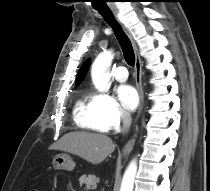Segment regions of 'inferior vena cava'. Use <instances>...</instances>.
Here are the masks:
<instances>
[{
	"label": "inferior vena cava",
	"mask_w": 210,
	"mask_h": 191,
	"mask_svg": "<svg viewBox=\"0 0 210 191\" xmlns=\"http://www.w3.org/2000/svg\"><path fill=\"white\" fill-rule=\"evenodd\" d=\"M123 122V132H127L131 126V116L130 113L124 112L121 116Z\"/></svg>",
	"instance_id": "1"
}]
</instances>
